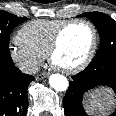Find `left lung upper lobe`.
Returning a JSON list of instances; mask_svg holds the SVG:
<instances>
[{"mask_svg":"<svg viewBox=\"0 0 116 116\" xmlns=\"http://www.w3.org/2000/svg\"><path fill=\"white\" fill-rule=\"evenodd\" d=\"M80 16L89 18L97 27L100 35V48L95 60L116 57V21L101 12H87Z\"/></svg>","mask_w":116,"mask_h":116,"instance_id":"obj_1","label":"left lung upper lobe"}]
</instances>
